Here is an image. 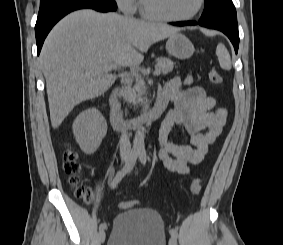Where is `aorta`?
<instances>
[{
	"label": "aorta",
	"instance_id": "aorta-1",
	"mask_svg": "<svg viewBox=\"0 0 283 245\" xmlns=\"http://www.w3.org/2000/svg\"><path fill=\"white\" fill-rule=\"evenodd\" d=\"M133 147L137 151H144L145 150L143 128H138V130L136 131Z\"/></svg>",
	"mask_w": 283,
	"mask_h": 245
}]
</instances>
